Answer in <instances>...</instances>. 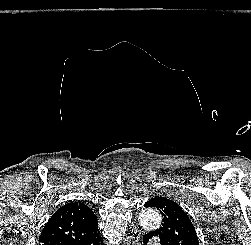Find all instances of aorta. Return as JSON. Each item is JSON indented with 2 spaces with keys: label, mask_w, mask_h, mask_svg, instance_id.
<instances>
[{
  "label": "aorta",
  "mask_w": 251,
  "mask_h": 245,
  "mask_svg": "<svg viewBox=\"0 0 251 245\" xmlns=\"http://www.w3.org/2000/svg\"><path fill=\"white\" fill-rule=\"evenodd\" d=\"M161 221V215L154 209L144 210L140 214V224L146 229H157L160 226Z\"/></svg>",
  "instance_id": "obj_1"
}]
</instances>
